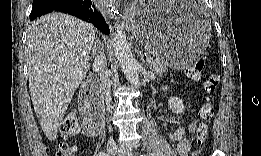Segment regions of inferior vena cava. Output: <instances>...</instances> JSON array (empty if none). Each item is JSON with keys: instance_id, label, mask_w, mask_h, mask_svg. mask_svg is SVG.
I'll list each match as a JSON object with an SVG mask.
<instances>
[{"instance_id": "602c4592", "label": "inferior vena cava", "mask_w": 261, "mask_h": 156, "mask_svg": "<svg viewBox=\"0 0 261 156\" xmlns=\"http://www.w3.org/2000/svg\"><path fill=\"white\" fill-rule=\"evenodd\" d=\"M99 53H100V55L95 57L94 64H95V66H97L100 69V81H101L102 87L104 89L107 109H109V104L111 101V84L109 81V73L106 69L107 61H106L103 51H100ZM111 131H112V129H111V127H109V132H111ZM109 144H111V145L114 144V140L112 137H110V139H109Z\"/></svg>"}]
</instances>
